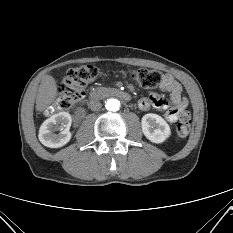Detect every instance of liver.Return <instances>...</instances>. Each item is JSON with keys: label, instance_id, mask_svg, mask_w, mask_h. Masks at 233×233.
<instances>
[{"label": "liver", "instance_id": "1", "mask_svg": "<svg viewBox=\"0 0 233 233\" xmlns=\"http://www.w3.org/2000/svg\"><path fill=\"white\" fill-rule=\"evenodd\" d=\"M57 96V85L55 79L50 75H45L40 83L37 97L36 110L44 111L55 100Z\"/></svg>", "mask_w": 233, "mask_h": 233}]
</instances>
